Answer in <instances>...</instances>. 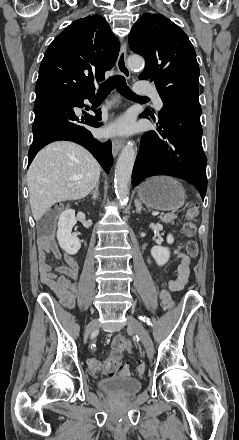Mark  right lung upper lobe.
<instances>
[{
  "mask_svg": "<svg viewBox=\"0 0 239 440\" xmlns=\"http://www.w3.org/2000/svg\"><path fill=\"white\" fill-rule=\"evenodd\" d=\"M118 39L106 20L90 15L75 20L50 44L39 68L36 96L94 91L119 53Z\"/></svg>",
  "mask_w": 239,
  "mask_h": 440,
  "instance_id": "right-lung-upper-lobe-1",
  "label": "right lung upper lobe"
}]
</instances>
